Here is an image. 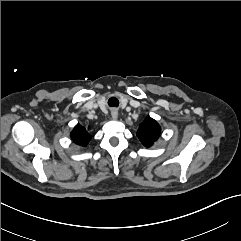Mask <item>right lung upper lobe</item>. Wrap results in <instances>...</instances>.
<instances>
[{"label":"right lung upper lobe","mask_w":241,"mask_h":241,"mask_svg":"<svg viewBox=\"0 0 241 241\" xmlns=\"http://www.w3.org/2000/svg\"><path fill=\"white\" fill-rule=\"evenodd\" d=\"M70 136L74 143L80 146H86L91 139V135L79 124L75 126Z\"/></svg>","instance_id":"obj_1"}]
</instances>
